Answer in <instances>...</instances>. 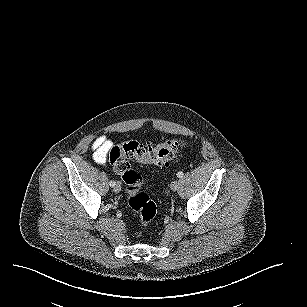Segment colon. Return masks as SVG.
<instances>
[{
  "mask_svg": "<svg viewBox=\"0 0 307 307\" xmlns=\"http://www.w3.org/2000/svg\"><path fill=\"white\" fill-rule=\"evenodd\" d=\"M183 146L184 142L179 139H169L157 145H143L131 140L109 151V162L123 179L128 205L138 214L143 228H147L155 218L157 206L146 193L141 191L142 176L132 169L129 160L144 165L167 166L176 158Z\"/></svg>",
  "mask_w": 307,
  "mask_h": 307,
  "instance_id": "colon-1",
  "label": "colon"
}]
</instances>
